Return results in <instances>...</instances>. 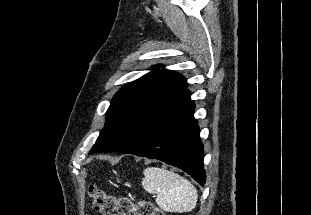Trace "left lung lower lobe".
Returning a JSON list of instances; mask_svg holds the SVG:
<instances>
[{
  "instance_id": "left-lung-lower-lobe-1",
  "label": "left lung lower lobe",
  "mask_w": 311,
  "mask_h": 215,
  "mask_svg": "<svg viewBox=\"0 0 311 215\" xmlns=\"http://www.w3.org/2000/svg\"><path fill=\"white\" fill-rule=\"evenodd\" d=\"M194 109V101L186 89L157 112L119 152L161 160L204 185L203 144Z\"/></svg>"
}]
</instances>
